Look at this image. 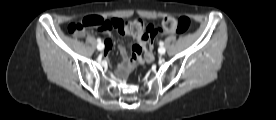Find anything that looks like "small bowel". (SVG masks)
I'll return each instance as SVG.
<instances>
[{"label": "small bowel", "instance_id": "obj_1", "mask_svg": "<svg viewBox=\"0 0 276 120\" xmlns=\"http://www.w3.org/2000/svg\"><path fill=\"white\" fill-rule=\"evenodd\" d=\"M113 21H120V20L113 19ZM152 30H155L154 27H152ZM153 40H154V37L146 41L137 40V42L134 44L132 48V54L130 57H127L125 48L123 46H120V53L123 57V61L119 66L117 74L123 77L129 72H131L137 65L142 64L144 62H149L151 60L150 48L152 46ZM105 46H106V49L108 50L111 49L113 46V40L110 38H107L105 40ZM146 47H149V50L146 51L145 57H142L141 52Z\"/></svg>", "mask_w": 276, "mask_h": 120}]
</instances>
